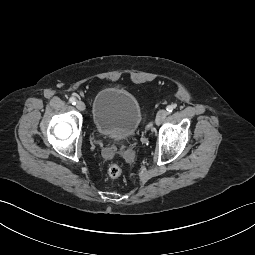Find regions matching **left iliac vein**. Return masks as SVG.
<instances>
[{"label":"left iliac vein","instance_id":"4c4485c4","mask_svg":"<svg viewBox=\"0 0 255 255\" xmlns=\"http://www.w3.org/2000/svg\"><path fill=\"white\" fill-rule=\"evenodd\" d=\"M168 115V112L164 109H161L157 112L156 123L160 124Z\"/></svg>","mask_w":255,"mask_h":255}]
</instances>
